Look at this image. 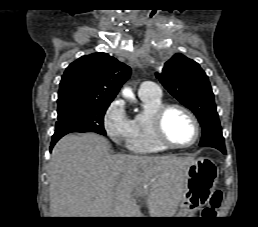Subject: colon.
I'll list each match as a JSON object with an SVG mask.
<instances>
[{
	"label": "colon",
	"instance_id": "colon-1",
	"mask_svg": "<svg viewBox=\"0 0 258 227\" xmlns=\"http://www.w3.org/2000/svg\"><path fill=\"white\" fill-rule=\"evenodd\" d=\"M223 200V193L220 190H215L209 197L207 206L203 209V214L213 215L215 211L221 206Z\"/></svg>",
	"mask_w": 258,
	"mask_h": 227
}]
</instances>
